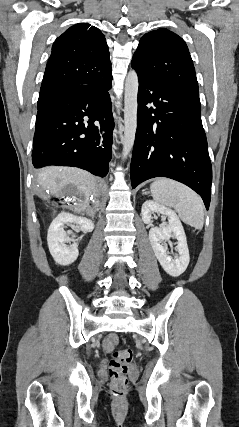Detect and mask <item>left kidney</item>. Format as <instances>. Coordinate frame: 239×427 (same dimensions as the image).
Here are the masks:
<instances>
[{
	"label": "left kidney",
	"mask_w": 239,
	"mask_h": 427,
	"mask_svg": "<svg viewBox=\"0 0 239 427\" xmlns=\"http://www.w3.org/2000/svg\"><path fill=\"white\" fill-rule=\"evenodd\" d=\"M158 213L168 217V225L153 227L149 231V240L162 268L171 276L181 275L187 268L190 256L187 246L186 235L177 214L165 206L147 200L142 205L141 216L145 224H150L152 214ZM175 237L178 241L176 251L178 255L174 259L168 255L166 241Z\"/></svg>",
	"instance_id": "5707ae66"
}]
</instances>
